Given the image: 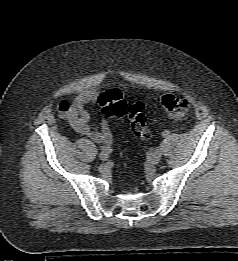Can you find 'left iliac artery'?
Listing matches in <instances>:
<instances>
[{"mask_svg":"<svg viewBox=\"0 0 238 261\" xmlns=\"http://www.w3.org/2000/svg\"><path fill=\"white\" fill-rule=\"evenodd\" d=\"M169 134H170V132L169 131H167V130H165L164 132H163V137H168L169 136Z\"/></svg>","mask_w":238,"mask_h":261,"instance_id":"left-iliac-artery-1","label":"left iliac artery"}]
</instances>
